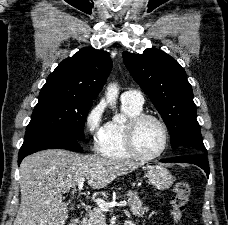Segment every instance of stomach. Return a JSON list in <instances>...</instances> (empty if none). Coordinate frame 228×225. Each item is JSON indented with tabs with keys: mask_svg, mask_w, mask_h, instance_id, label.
<instances>
[{
	"mask_svg": "<svg viewBox=\"0 0 228 225\" xmlns=\"http://www.w3.org/2000/svg\"><path fill=\"white\" fill-rule=\"evenodd\" d=\"M147 179H149L150 185L158 189V191H165V189L172 187L174 183V177H172L170 171H167L161 165L148 167Z\"/></svg>",
	"mask_w": 228,
	"mask_h": 225,
	"instance_id": "1",
	"label": "stomach"
}]
</instances>
